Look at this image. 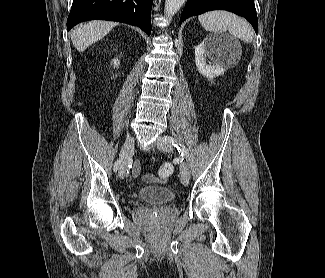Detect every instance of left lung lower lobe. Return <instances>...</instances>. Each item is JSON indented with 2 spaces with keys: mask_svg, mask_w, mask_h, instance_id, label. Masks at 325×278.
<instances>
[{
  "mask_svg": "<svg viewBox=\"0 0 325 278\" xmlns=\"http://www.w3.org/2000/svg\"><path fill=\"white\" fill-rule=\"evenodd\" d=\"M211 10H227L243 16L251 23L255 32L257 33L258 31V19L254 0H187L180 18V25L191 16Z\"/></svg>",
  "mask_w": 325,
  "mask_h": 278,
  "instance_id": "left-lung-lower-lobe-1",
  "label": "left lung lower lobe"
}]
</instances>
